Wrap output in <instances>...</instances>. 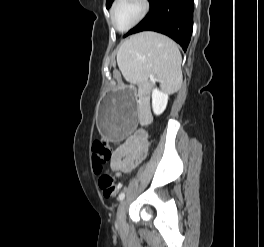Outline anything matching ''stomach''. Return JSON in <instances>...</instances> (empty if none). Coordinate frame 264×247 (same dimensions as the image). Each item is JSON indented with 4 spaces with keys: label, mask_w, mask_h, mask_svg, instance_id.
<instances>
[{
    "label": "stomach",
    "mask_w": 264,
    "mask_h": 247,
    "mask_svg": "<svg viewBox=\"0 0 264 247\" xmlns=\"http://www.w3.org/2000/svg\"><path fill=\"white\" fill-rule=\"evenodd\" d=\"M118 90H107L99 102L98 123L107 141H124V136L137 131L139 108L134 90L130 86H119Z\"/></svg>",
    "instance_id": "obj_1"
}]
</instances>
